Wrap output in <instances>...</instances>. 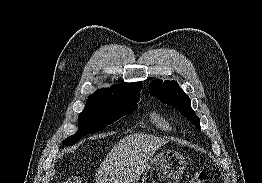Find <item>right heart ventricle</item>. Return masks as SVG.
<instances>
[{"mask_svg": "<svg viewBox=\"0 0 262 183\" xmlns=\"http://www.w3.org/2000/svg\"><path fill=\"white\" fill-rule=\"evenodd\" d=\"M151 120L158 128L165 130V131L170 130L169 123L163 117H161L158 113H155V112L152 113Z\"/></svg>", "mask_w": 262, "mask_h": 183, "instance_id": "obj_1", "label": "right heart ventricle"}]
</instances>
